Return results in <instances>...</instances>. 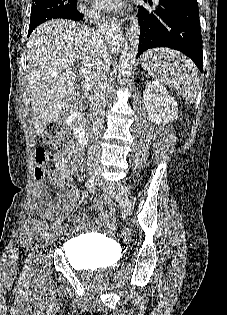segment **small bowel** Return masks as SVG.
I'll return each instance as SVG.
<instances>
[{
	"instance_id": "c3829d8e",
	"label": "small bowel",
	"mask_w": 227,
	"mask_h": 315,
	"mask_svg": "<svg viewBox=\"0 0 227 315\" xmlns=\"http://www.w3.org/2000/svg\"><path fill=\"white\" fill-rule=\"evenodd\" d=\"M82 161V152L77 147L76 144H71L68 149L62 153L54 156L56 171L50 178V185L57 192L61 193L65 183L72 180L73 175L70 169L72 165L75 170H77ZM34 196L36 198L37 204L43 209V215L50 219L58 213L62 212L67 215L74 206L76 201L74 192L69 191L68 195L70 197L69 201H64L63 205L57 202L49 201L47 193L44 190V184L36 183L34 185ZM92 208L99 212L100 219L103 221H108L113 218L114 207L109 202H103L96 200L92 203ZM79 224V220H75Z\"/></svg>"
}]
</instances>
